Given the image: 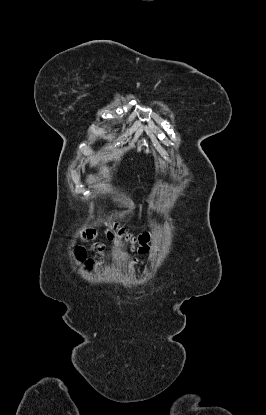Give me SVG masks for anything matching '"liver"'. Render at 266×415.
<instances>
[{
	"label": "liver",
	"mask_w": 266,
	"mask_h": 415,
	"mask_svg": "<svg viewBox=\"0 0 266 415\" xmlns=\"http://www.w3.org/2000/svg\"><path fill=\"white\" fill-rule=\"evenodd\" d=\"M101 171H102V173H105L107 171V168L106 167H102L101 168Z\"/></svg>",
	"instance_id": "obj_1"
}]
</instances>
